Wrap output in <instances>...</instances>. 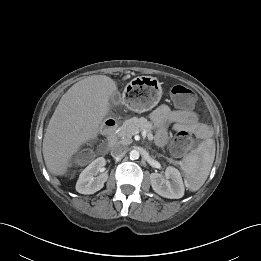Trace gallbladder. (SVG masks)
I'll list each match as a JSON object with an SVG mask.
<instances>
[{
  "mask_svg": "<svg viewBox=\"0 0 261 261\" xmlns=\"http://www.w3.org/2000/svg\"><path fill=\"white\" fill-rule=\"evenodd\" d=\"M120 100H121V96L120 94L117 92V93H114L111 97H110V104L112 106H115V105H118L120 103Z\"/></svg>",
  "mask_w": 261,
  "mask_h": 261,
  "instance_id": "bac80fb5",
  "label": "gallbladder"
}]
</instances>
